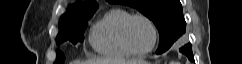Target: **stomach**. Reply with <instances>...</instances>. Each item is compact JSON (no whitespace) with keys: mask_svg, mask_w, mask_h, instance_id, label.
<instances>
[{"mask_svg":"<svg viewBox=\"0 0 242 64\" xmlns=\"http://www.w3.org/2000/svg\"><path fill=\"white\" fill-rule=\"evenodd\" d=\"M139 64H149V63H148V62L143 61V62H141V63H139Z\"/></svg>","mask_w":242,"mask_h":64,"instance_id":"stomach-1","label":"stomach"}]
</instances>
